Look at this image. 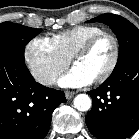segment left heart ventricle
I'll return each mask as SVG.
<instances>
[{
    "label": "left heart ventricle",
    "instance_id": "1",
    "mask_svg": "<svg viewBox=\"0 0 139 139\" xmlns=\"http://www.w3.org/2000/svg\"><path fill=\"white\" fill-rule=\"evenodd\" d=\"M113 55L110 39H101L93 49L75 62L78 67L96 80L108 67Z\"/></svg>",
    "mask_w": 139,
    "mask_h": 139
}]
</instances>
